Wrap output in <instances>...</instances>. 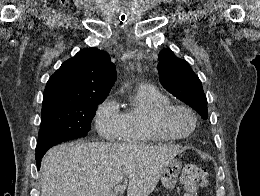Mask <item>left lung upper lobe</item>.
Listing matches in <instances>:
<instances>
[{
  "instance_id": "5c2ea615",
  "label": "left lung upper lobe",
  "mask_w": 260,
  "mask_h": 196,
  "mask_svg": "<svg viewBox=\"0 0 260 196\" xmlns=\"http://www.w3.org/2000/svg\"><path fill=\"white\" fill-rule=\"evenodd\" d=\"M158 69L162 86L207 119V100L202 83L189 64L177 58L171 50L163 49L159 54Z\"/></svg>"
}]
</instances>
